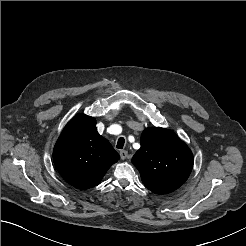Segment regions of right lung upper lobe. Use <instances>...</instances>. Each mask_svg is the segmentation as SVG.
<instances>
[{
	"mask_svg": "<svg viewBox=\"0 0 246 246\" xmlns=\"http://www.w3.org/2000/svg\"><path fill=\"white\" fill-rule=\"evenodd\" d=\"M119 158L109 141L97 132L95 119L84 114L69 121L53 150L59 174L78 189L98 185Z\"/></svg>",
	"mask_w": 246,
	"mask_h": 246,
	"instance_id": "cb5924a9",
	"label": "right lung upper lobe"
}]
</instances>
